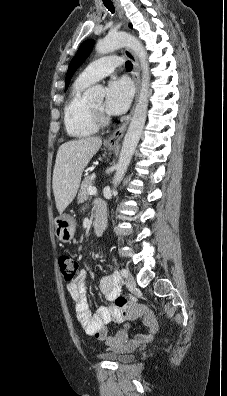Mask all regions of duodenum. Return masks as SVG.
<instances>
[{
	"label": "duodenum",
	"instance_id": "1",
	"mask_svg": "<svg viewBox=\"0 0 227 396\" xmlns=\"http://www.w3.org/2000/svg\"><path fill=\"white\" fill-rule=\"evenodd\" d=\"M106 226V219L104 214H99L94 221V231L96 234H101Z\"/></svg>",
	"mask_w": 227,
	"mask_h": 396
}]
</instances>
